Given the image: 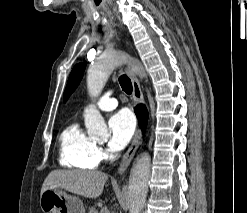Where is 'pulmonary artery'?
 Instances as JSON below:
<instances>
[{"label":"pulmonary artery","mask_w":247,"mask_h":213,"mask_svg":"<svg viewBox=\"0 0 247 213\" xmlns=\"http://www.w3.org/2000/svg\"><path fill=\"white\" fill-rule=\"evenodd\" d=\"M96 105L100 110L109 111L117 107L118 101L116 98L111 97V91H108L100 98Z\"/></svg>","instance_id":"1"}]
</instances>
